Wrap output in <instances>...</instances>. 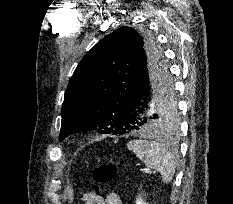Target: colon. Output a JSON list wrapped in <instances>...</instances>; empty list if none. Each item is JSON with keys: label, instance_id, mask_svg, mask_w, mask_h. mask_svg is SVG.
<instances>
[{"label": "colon", "instance_id": "5ec220e1", "mask_svg": "<svg viewBox=\"0 0 233 204\" xmlns=\"http://www.w3.org/2000/svg\"><path fill=\"white\" fill-rule=\"evenodd\" d=\"M118 167L115 164H102L94 169L93 178L97 184L111 182L117 175ZM98 189V186H95Z\"/></svg>", "mask_w": 233, "mask_h": 204}]
</instances>
